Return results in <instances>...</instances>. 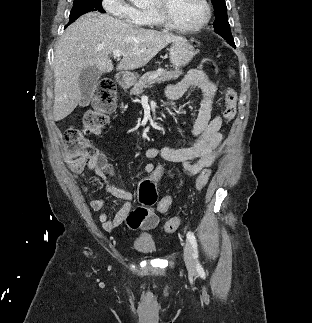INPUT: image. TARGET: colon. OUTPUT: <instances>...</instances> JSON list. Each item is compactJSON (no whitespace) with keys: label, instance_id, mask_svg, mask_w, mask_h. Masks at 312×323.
<instances>
[{"label":"colon","instance_id":"obj_1","mask_svg":"<svg viewBox=\"0 0 312 323\" xmlns=\"http://www.w3.org/2000/svg\"><path fill=\"white\" fill-rule=\"evenodd\" d=\"M237 92L233 87H228L225 92V110L224 115L228 121H231L236 114L237 107ZM116 106V85L109 77L100 78L97 82L94 96L93 109L86 112L84 115V123L81 126H69L63 134V141L67 149L66 167L71 168L72 172H81L85 163L95 155V148L88 140L90 135L95 130L103 127L108 121V115L115 109ZM163 173L162 168H155L151 173L153 182L160 179ZM210 177V171L204 170L197 179V187L202 188ZM140 186L136 193L139 195V200L146 206H154L157 202V190L149 177H140ZM173 207L172 202L168 197H164L162 202L158 203L157 211L159 213H170ZM143 218L149 216V212H141L139 214ZM180 218H174L165 223L163 229L168 234L175 233L180 226Z\"/></svg>","mask_w":312,"mask_h":323}]
</instances>
